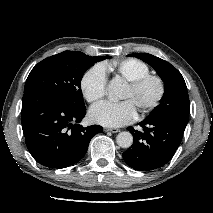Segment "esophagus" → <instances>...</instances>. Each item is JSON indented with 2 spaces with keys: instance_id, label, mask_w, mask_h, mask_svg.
<instances>
[{
  "instance_id": "esophagus-1",
  "label": "esophagus",
  "mask_w": 213,
  "mask_h": 213,
  "mask_svg": "<svg viewBox=\"0 0 213 213\" xmlns=\"http://www.w3.org/2000/svg\"><path fill=\"white\" fill-rule=\"evenodd\" d=\"M105 132H112V133H117L120 131L118 128H104Z\"/></svg>"
}]
</instances>
